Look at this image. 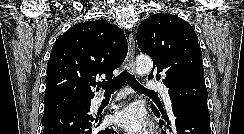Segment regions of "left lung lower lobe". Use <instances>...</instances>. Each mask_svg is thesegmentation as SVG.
<instances>
[{"label":"left lung lower lobe","instance_id":"0a47b994","mask_svg":"<svg viewBox=\"0 0 244 134\" xmlns=\"http://www.w3.org/2000/svg\"><path fill=\"white\" fill-rule=\"evenodd\" d=\"M152 111L157 117H160L158 109L152 107ZM162 117L167 122V127L170 128V123L163 111ZM172 111L175 125L173 132L176 134H211L210 131V115L207 108L190 104V103H173Z\"/></svg>","mask_w":244,"mask_h":134}]
</instances>
